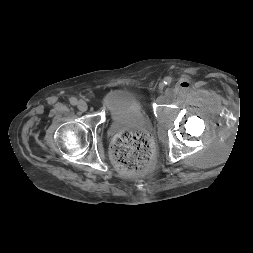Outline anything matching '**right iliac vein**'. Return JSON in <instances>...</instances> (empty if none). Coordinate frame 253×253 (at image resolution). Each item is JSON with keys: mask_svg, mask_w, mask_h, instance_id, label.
<instances>
[{"mask_svg": "<svg viewBox=\"0 0 253 253\" xmlns=\"http://www.w3.org/2000/svg\"><path fill=\"white\" fill-rule=\"evenodd\" d=\"M77 106H78V109H79L80 111H82V112L86 111L87 108H88L86 102L83 101V100H80V101L78 102V105H77Z\"/></svg>", "mask_w": 253, "mask_h": 253, "instance_id": "1", "label": "right iliac vein"}]
</instances>
